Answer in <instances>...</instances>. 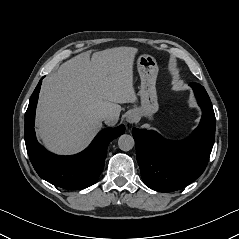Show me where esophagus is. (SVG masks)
<instances>
[{"label": "esophagus", "mask_w": 239, "mask_h": 239, "mask_svg": "<svg viewBox=\"0 0 239 239\" xmlns=\"http://www.w3.org/2000/svg\"><path fill=\"white\" fill-rule=\"evenodd\" d=\"M136 120H137V117H136V115H135L134 113H130V114L127 116V118H126V121H127L128 123H130V124L135 123Z\"/></svg>", "instance_id": "esophagus-1"}]
</instances>
